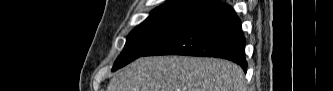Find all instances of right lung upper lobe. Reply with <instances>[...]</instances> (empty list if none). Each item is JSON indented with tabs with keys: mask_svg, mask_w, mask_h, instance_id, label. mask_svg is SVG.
<instances>
[{
	"mask_svg": "<svg viewBox=\"0 0 333 91\" xmlns=\"http://www.w3.org/2000/svg\"><path fill=\"white\" fill-rule=\"evenodd\" d=\"M205 1L206 0H169L155 8L148 18L170 17L191 20L203 12L200 6Z\"/></svg>",
	"mask_w": 333,
	"mask_h": 91,
	"instance_id": "right-lung-upper-lobe-1",
	"label": "right lung upper lobe"
}]
</instances>
